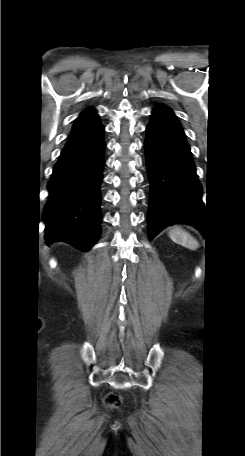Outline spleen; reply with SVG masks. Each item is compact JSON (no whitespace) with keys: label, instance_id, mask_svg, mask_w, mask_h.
Wrapping results in <instances>:
<instances>
[{"label":"spleen","instance_id":"1","mask_svg":"<svg viewBox=\"0 0 245 456\" xmlns=\"http://www.w3.org/2000/svg\"><path fill=\"white\" fill-rule=\"evenodd\" d=\"M169 237L177 243H180L184 247L194 250L198 247L197 241L186 231L180 227H174L169 232Z\"/></svg>","mask_w":245,"mask_h":456}]
</instances>
